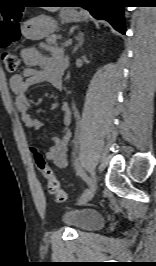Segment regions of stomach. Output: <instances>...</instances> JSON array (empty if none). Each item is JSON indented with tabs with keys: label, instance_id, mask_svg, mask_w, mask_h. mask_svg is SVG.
I'll return each instance as SVG.
<instances>
[{
	"label": "stomach",
	"instance_id": "1",
	"mask_svg": "<svg viewBox=\"0 0 156 266\" xmlns=\"http://www.w3.org/2000/svg\"><path fill=\"white\" fill-rule=\"evenodd\" d=\"M62 22L81 21L83 15L75 9L62 8L60 11ZM57 29V22L49 16L40 15L26 22L22 28V33L29 39L42 40L52 35Z\"/></svg>",
	"mask_w": 156,
	"mask_h": 266
}]
</instances>
